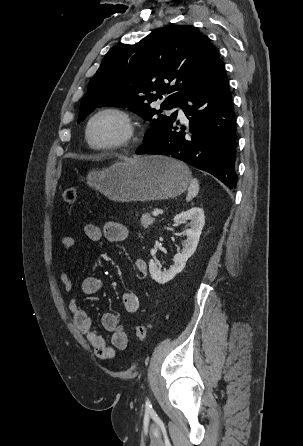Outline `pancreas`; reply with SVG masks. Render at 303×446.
<instances>
[{"label": "pancreas", "instance_id": "1", "mask_svg": "<svg viewBox=\"0 0 303 446\" xmlns=\"http://www.w3.org/2000/svg\"><path fill=\"white\" fill-rule=\"evenodd\" d=\"M140 222L144 228H148L149 226H151L153 224L154 218H152L150 216V214L145 213V214H142Z\"/></svg>", "mask_w": 303, "mask_h": 446}]
</instances>
